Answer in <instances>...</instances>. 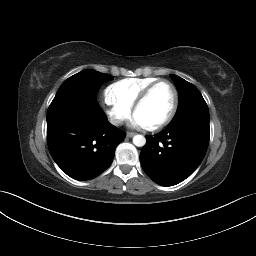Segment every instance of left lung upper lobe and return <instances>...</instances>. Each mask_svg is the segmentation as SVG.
Masks as SVG:
<instances>
[{
  "label": "left lung upper lobe",
  "instance_id": "5c2ea615",
  "mask_svg": "<svg viewBox=\"0 0 256 256\" xmlns=\"http://www.w3.org/2000/svg\"><path fill=\"white\" fill-rule=\"evenodd\" d=\"M170 77L179 92L178 108L170 125L187 118H196L209 122L208 106L199 90L193 84L176 75H170Z\"/></svg>",
  "mask_w": 256,
  "mask_h": 256
}]
</instances>
